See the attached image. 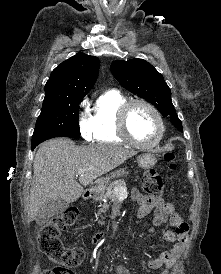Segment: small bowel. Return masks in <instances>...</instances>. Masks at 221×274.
Instances as JSON below:
<instances>
[{"label":"small bowel","mask_w":221,"mask_h":274,"mask_svg":"<svg viewBox=\"0 0 221 274\" xmlns=\"http://www.w3.org/2000/svg\"><path fill=\"white\" fill-rule=\"evenodd\" d=\"M132 198L139 204L136 212L137 218L142 219L153 211L152 227L149 229V232H153L155 227L167 221L172 227V229L167 230L163 234V239L166 242L173 243L172 248L168 251L161 252L156 258L152 259L148 265L152 270L162 269L160 274H169L170 269L183 253L188 233V225L176 212L171 203H167L162 199H151L144 196L138 190L132 191ZM114 274H132V272L124 266H117Z\"/></svg>","instance_id":"obj_1"}]
</instances>
